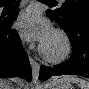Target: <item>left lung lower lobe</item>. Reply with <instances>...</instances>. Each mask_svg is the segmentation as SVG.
<instances>
[{
    "label": "left lung lower lobe",
    "instance_id": "0a47b994",
    "mask_svg": "<svg viewBox=\"0 0 89 89\" xmlns=\"http://www.w3.org/2000/svg\"><path fill=\"white\" fill-rule=\"evenodd\" d=\"M47 16L60 24L52 10L47 11ZM62 28L72 44L71 58L53 68L41 66L39 79L45 81L59 75H80L89 78V18L79 17L69 26Z\"/></svg>",
    "mask_w": 89,
    "mask_h": 89
}]
</instances>
